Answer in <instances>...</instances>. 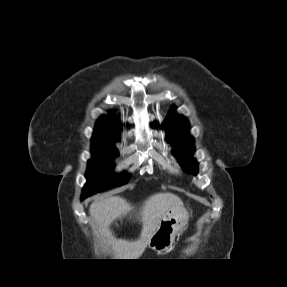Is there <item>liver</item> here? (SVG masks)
Returning <instances> with one entry per match:
<instances>
[{
    "label": "liver",
    "instance_id": "obj_1",
    "mask_svg": "<svg viewBox=\"0 0 287 287\" xmlns=\"http://www.w3.org/2000/svg\"><path fill=\"white\" fill-rule=\"evenodd\" d=\"M183 207L182 200L170 192L156 193L144 201L136 213V220L142 223L140 237L135 241L116 239L110 229L111 224L130 215L134 210L126 199L120 196H106L91 203L89 212L93 219V230L112 247L119 259H137L147 247L151 237L159 226L161 218L172 209Z\"/></svg>",
    "mask_w": 287,
    "mask_h": 287
}]
</instances>
